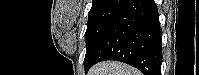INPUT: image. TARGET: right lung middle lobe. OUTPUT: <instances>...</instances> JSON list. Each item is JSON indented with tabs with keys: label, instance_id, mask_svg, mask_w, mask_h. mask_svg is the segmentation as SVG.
Segmentation results:
<instances>
[{
	"label": "right lung middle lobe",
	"instance_id": "obj_1",
	"mask_svg": "<svg viewBox=\"0 0 199 75\" xmlns=\"http://www.w3.org/2000/svg\"><path fill=\"white\" fill-rule=\"evenodd\" d=\"M127 2L128 0H109L91 8L85 33L86 55L84 66L89 62L92 51L98 44L108 25Z\"/></svg>",
	"mask_w": 199,
	"mask_h": 75
}]
</instances>
